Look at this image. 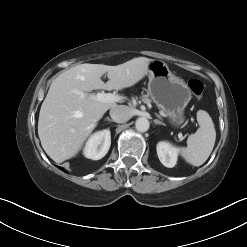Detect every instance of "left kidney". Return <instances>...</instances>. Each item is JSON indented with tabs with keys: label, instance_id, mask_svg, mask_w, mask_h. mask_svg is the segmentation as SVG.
<instances>
[{
	"label": "left kidney",
	"instance_id": "5707ae66",
	"mask_svg": "<svg viewBox=\"0 0 247 247\" xmlns=\"http://www.w3.org/2000/svg\"><path fill=\"white\" fill-rule=\"evenodd\" d=\"M157 155L160 162L168 168H172L177 163L178 149L173 147L170 143L159 142L157 144Z\"/></svg>",
	"mask_w": 247,
	"mask_h": 247
}]
</instances>
